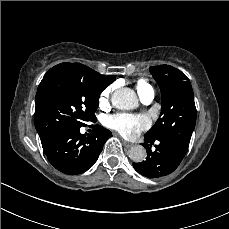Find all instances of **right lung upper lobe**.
<instances>
[{
    "mask_svg": "<svg viewBox=\"0 0 229 229\" xmlns=\"http://www.w3.org/2000/svg\"><path fill=\"white\" fill-rule=\"evenodd\" d=\"M56 68H65L76 72L87 85L97 91L102 92L108 85L116 80V75H101L98 72L92 70L91 68L79 64V63H61L56 66Z\"/></svg>",
    "mask_w": 229,
    "mask_h": 229,
    "instance_id": "right-lung-upper-lobe-1",
    "label": "right lung upper lobe"
}]
</instances>
